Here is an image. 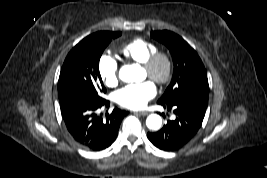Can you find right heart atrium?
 Here are the masks:
<instances>
[{
	"label": "right heart atrium",
	"mask_w": 267,
	"mask_h": 178,
	"mask_svg": "<svg viewBox=\"0 0 267 178\" xmlns=\"http://www.w3.org/2000/svg\"><path fill=\"white\" fill-rule=\"evenodd\" d=\"M98 73L103 83L113 88L119 81L118 64L114 57L109 54H103L98 62Z\"/></svg>",
	"instance_id": "d8ad5b80"
}]
</instances>
